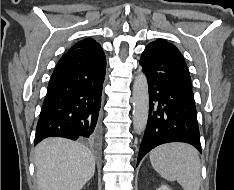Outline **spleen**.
I'll return each instance as SVG.
<instances>
[{
    "label": "spleen",
    "instance_id": "obj_1",
    "mask_svg": "<svg viewBox=\"0 0 234 190\" xmlns=\"http://www.w3.org/2000/svg\"><path fill=\"white\" fill-rule=\"evenodd\" d=\"M150 161L162 178L177 181L184 190H199L201 162L197 150L191 145H160L150 152Z\"/></svg>",
    "mask_w": 234,
    "mask_h": 190
}]
</instances>
